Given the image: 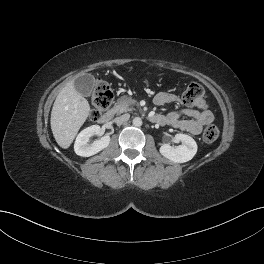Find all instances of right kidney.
Wrapping results in <instances>:
<instances>
[{
	"label": "right kidney",
	"instance_id": "obj_1",
	"mask_svg": "<svg viewBox=\"0 0 264 264\" xmlns=\"http://www.w3.org/2000/svg\"><path fill=\"white\" fill-rule=\"evenodd\" d=\"M101 128L99 125H92L82 130L76 137L74 151L82 157H89L105 149L110 143V136L105 135L100 140L89 144V139L94 135H99Z\"/></svg>",
	"mask_w": 264,
	"mask_h": 264
}]
</instances>
